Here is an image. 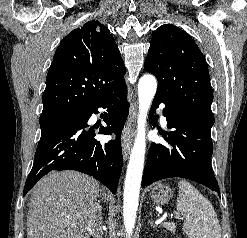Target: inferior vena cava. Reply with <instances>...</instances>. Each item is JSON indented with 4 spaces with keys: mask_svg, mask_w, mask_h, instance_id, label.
I'll list each match as a JSON object with an SVG mask.
<instances>
[{
    "mask_svg": "<svg viewBox=\"0 0 247 238\" xmlns=\"http://www.w3.org/2000/svg\"><path fill=\"white\" fill-rule=\"evenodd\" d=\"M86 225L88 231H90L94 235V237H102L103 222L101 214V205L99 202H95L89 207L86 215Z\"/></svg>",
    "mask_w": 247,
    "mask_h": 238,
    "instance_id": "1",
    "label": "inferior vena cava"
}]
</instances>
